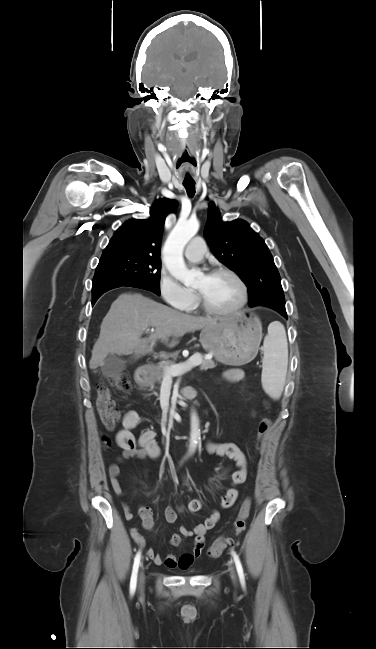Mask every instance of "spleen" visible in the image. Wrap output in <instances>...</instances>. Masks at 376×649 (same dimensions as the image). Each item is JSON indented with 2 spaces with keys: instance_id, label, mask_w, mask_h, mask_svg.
<instances>
[{
  "instance_id": "obj_1",
  "label": "spleen",
  "mask_w": 376,
  "mask_h": 649,
  "mask_svg": "<svg viewBox=\"0 0 376 649\" xmlns=\"http://www.w3.org/2000/svg\"><path fill=\"white\" fill-rule=\"evenodd\" d=\"M262 386L272 398H280L285 385L288 344L283 325L273 322L263 343Z\"/></svg>"
}]
</instances>
